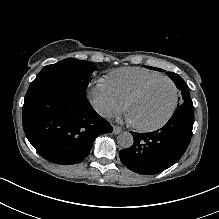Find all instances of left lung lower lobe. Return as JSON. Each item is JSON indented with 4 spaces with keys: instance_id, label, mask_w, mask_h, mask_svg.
Masks as SVG:
<instances>
[{
    "instance_id": "1",
    "label": "left lung lower lobe",
    "mask_w": 219,
    "mask_h": 219,
    "mask_svg": "<svg viewBox=\"0 0 219 219\" xmlns=\"http://www.w3.org/2000/svg\"><path fill=\"white\" fill-rule=\"evenodd\" d=\"M194 112H176L161 129L132 132L134 144L120 151L121 162L136 173L153 175L175 164L192 136Z\"/></svg>"
}]
</instances>
